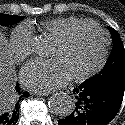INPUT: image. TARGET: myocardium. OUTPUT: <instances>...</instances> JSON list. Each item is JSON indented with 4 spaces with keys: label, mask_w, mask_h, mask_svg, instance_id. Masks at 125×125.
<instances>
[{
    "label": "myocardium",
    "mask_w": 125,
    "mask_h": 125,
    "mask_svg": "<svg viewBox=\"0 0 125 125\" xmlns=\"http://www.w3.org/2000/svg\"><path fill=\"white\" fill-rule=\"evenodd\" d=\"M86 26L94 27L102 34L103 48H102V53L100 55V58L93 68H91L90 70L84 73L73 75V79L79 82L85 81L93 77L94 75H96L103 69L109 56V49H110V43H111L109 32L101 24H99L96 21L84 20L80 23L72 25L63 34H61L59 37L55 39V42L59 44H65L71 39V37L74 35V33L77 30Z\"/></svg>",
    "instance_id": "1"
}]
</instances>
